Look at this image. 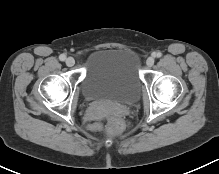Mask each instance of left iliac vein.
<instances>
[{
	"mask_svg": "<svg viewBox=\"0 0 219 174\" xmlns=\"http://www.w3.org/2000/svg\"><path fill=\"white\" fill-rule=\"evenodd\" d=\"M146 65L148 67H152L154 65V58L153 57H148L146 60Z\"/></svg>",
	"mask_w": 219,
	"mask_h": 174,
	"instance_id": "left-iliac-vein-1",
	"label": "left iliac vein"
}]
</instances>
